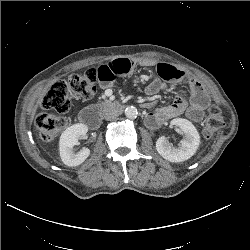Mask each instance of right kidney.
I'll list each match as a JSON object with an SVG mask.
<instances>
[{
  "instance_id": "right-kidney-1",
  "label": "right kidney",
  "mask_w": 250,
  "mask_h": 250,
  "mask_svg": "<svg viewBox=\"0 0 250 250\" xmlns=\"http://www.w3.org/2000/svg\"><path fill=\"white\" fill-rule=\"evenodd\" d=\"M88 132V127L85 124H74L68 127L61 135L59 140L60 157L63 163L67 166H77L83 163L89 156L90 150L82 148L75 153L73 147L78 144V138L85 136Z\"/></svg>"
}]
</instances>
